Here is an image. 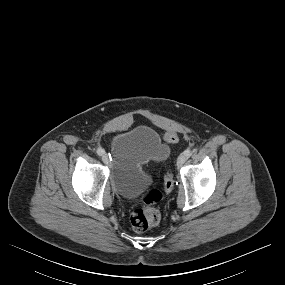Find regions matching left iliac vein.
I'll use <instances>...</instances> for the list:
<instances>
[{
	"label": "left iliac vein",
	"instance_id": "1",
	"mask_svg": "<svg viewBox=\"0 0 285 285\" xmlns=\"http://www.w3.org/2000/svg\"><path fill=\"white\" fill-rule=\"evenodd\" d=\"M186 159V156L180 155L177 159V167H181L185 163Z\"/></svg>",
	"mask_w": 285,
	"mask_h": 285
}]
</instances>
